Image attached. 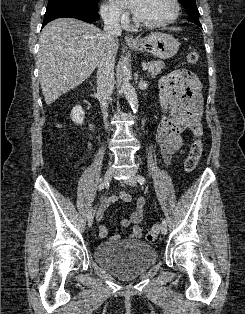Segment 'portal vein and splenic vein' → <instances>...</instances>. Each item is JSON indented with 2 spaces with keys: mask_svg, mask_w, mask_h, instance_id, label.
<instances>
[{
  "mask_svg": "<svg viewBox=\"0 0 245 314\" xmlns=\"http://www.w3.org/2000/svg\"><path fill=\"white\" fill-rule=\"evenodd\" d=\"M148 69V65L143 66V71H146Z\"/></svg>",
  "mask_w": 245,
  "mask_h": 314,
  "instance_id": "portal-vein-and-splenic-vein-1",
  "label": "portal vein and splenic vein"
}]
</instances>
